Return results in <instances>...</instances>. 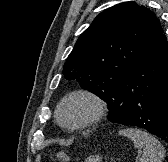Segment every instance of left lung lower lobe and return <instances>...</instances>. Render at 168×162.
I'll return each instance as SVG.
<instances>
[{
	"label": "left lung lower lobe",
	"mask_w": 168,
	"mask_h": 162,
	"mask_svg": "<svg viewBox=\"0 0 168 162\" xmlns=\"http://www.w3.org/2000/svg\"><path fill=\"white\" fill-rule=\"evenodd\" d=\"M107 104L109 121L146 129L168 142V43L163 33Z\"/></svg>",
	"instance_id": "0a47b994"
}]
</instances>
